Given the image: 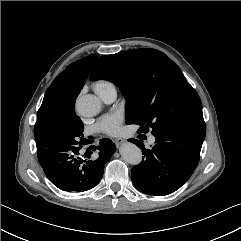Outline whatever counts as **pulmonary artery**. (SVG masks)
Returning <instances> with one entry per match:
<instances>
[{"instance_id":"e3ab8cb5","label":"pulmonary artery","mask_w":241,"mask_h":241,"mask_svg":"<svg viewBox=\"0 0 241 241\" xmlns=\"http://www.w3.org/2000/svg\"><path fill=\"white\" fill-rule=\"evenodd\" d=\"M100 98L105 101L106 103H111L113 102L115 99H116V96H117V91H116V88L115 86H112L100 93H97ZM155 142V137H150L149 139V143L150 144H153Z\"/></svg>"}]
</instances>
